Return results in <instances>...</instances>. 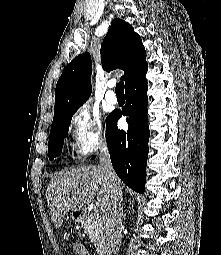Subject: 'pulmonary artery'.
<instances>
[{"instance_id": "obj_1", "label": "pulmonary artery", "mask_w": 221, "mask_h": 255, "mask_svg": "<svg viewBox=\"0 0 221 255\" xmlns=\"http://www.w3.org/2000/svg\"><path fill=\"white\" fill-rule=\"evenodd\" d=\"M109 90L106 92L105 98L106 101L110 104H116L118 99L116 94L114 93V91L112 90V88L114 87V83L113 82H109L107 84Z\"/></svg>"}]
</instances>
